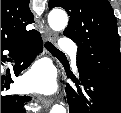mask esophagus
Returning <instances> with one entry per match:
<instances>
[{"mask_svg": "<svg viewBox=\"0 0 121 113\" xmlns=\"http://www.w3.org/2000/svg\"><path fill=\"white\" fill-rule=\"evenodd\" d=\"M44 38H45V40H52V39H53L52 33H51V31L48 29V27L45 28ZM53 101H54L53 98H46V97L41 98V102H42V104H43L46 108L50 107L51 104L53 103Z\"/></svg>", "mask_w": 121, "mask_h": 113, "instance_id": "obj_1", "label": "esophagus"}]
</instances>
